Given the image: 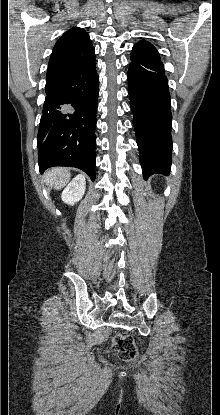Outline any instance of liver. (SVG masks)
Masks as SVG:
<instances>
[{"label":"liver","instance_id":"6515ba94","mask_svg":"<svg viewBox=\"0 0 220 415\" xmlns=\"http://www.w3.org/2000/svg\"><path fill=\"white\" fill-rule=\"evenodd\" d=\"M71 178V174L67 168H52L46 171L45 181L48 185L53 186L55 190H59L66 186Z\"/></svg>","mask_w":220,"mask_h":415}]
</instances>
